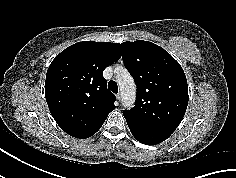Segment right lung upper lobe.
Listing matches in <instances>:
<instances>
[{"mask_svg": "<svg viewBox=\"0 0 236 178\" xmlns=\"http://www.w3.org/2000/svg\"><path fill=\"white\" fill-rule=\"evenodd\" d=\"M119 43L83 41L63 50L50 64L45 81L49 110L67 134H95L115 109V95L102 73L121 57Z\"/></svg>", "mask_w": 236, "mask_h": 178, "instance_id": "cb5924a9", "label": "right lung upper lobe"}]
</instances>
